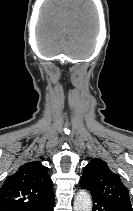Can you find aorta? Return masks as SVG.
<instances>
[{"instance_id": "762f6f07", "label": "aorta", "mask_w": 133, "mask_h": 211, "mask_svg": "<svg viewBox=\"0 0 133 211\" xmlns=\"http://www.w3.org/2000/svg\"><path fill=\"white\" fill-rule=\"evenodd\" d=\"M74 211H92V200L87 191L80 190L75 196Z\"/></svg>"}]
</instances>
